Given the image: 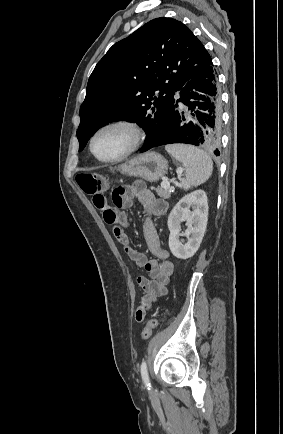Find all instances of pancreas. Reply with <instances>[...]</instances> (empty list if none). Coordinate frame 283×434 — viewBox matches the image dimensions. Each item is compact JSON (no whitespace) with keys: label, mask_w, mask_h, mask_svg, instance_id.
<instances>
[{"label":"pancreas","mask_w":283,"mask_h":434,"mask_svg":"<svg viewBox=\"0 0 283 434\" xmlns=\"http://www.w3.org/2000/svg\"><path fill=\"white\" fill-rule=\"evenodd\" d=\"M173 189H174L173 187L164 188L161 186L156 189V193L158 194V196L164 199H168L170 198Z\"/></svg>","instance_id":"1"}]
</instances>
